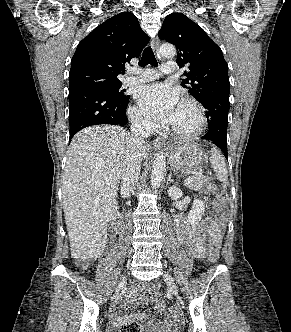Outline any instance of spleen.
Instances as JSON below:
<instances>
[{"mask_svg": "<svg viewBox=\"0 0 291 332\" xmlns=\"http://www.w3.org/2000/svg\"><path fill=\"white\" fill-rule=\"evenodd\" d=\"M216 176L219 181H226L228 178V171L225 160L220 152L214 147L211 149V155L209 158Z\"/></svg>", "mask_w": 291, "mask_h": 332, "instance_id": "1", "label": "spleen"}]
</instances>
